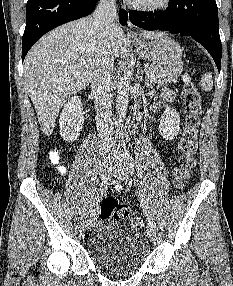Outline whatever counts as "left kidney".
Listing matches in <instances>:
<instances>
[{"instance_id":"obj_1","label":"left kidney","mask_w":233,"mask_h":286,"mask_svg":"<svg viewBox=\"0 0 233 286\" xmlns=\"http://www.w3.org/2000/svg\"><path fill=\"white\" fill-rule=\"evenodd\" d=\"M180 130V117L175 109L166 108L160 118L159 131L166 140H173Z\"/></svg>"}]
</instances>
